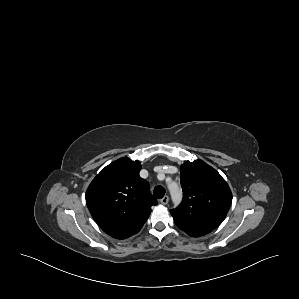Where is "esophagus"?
Here are the masks:
<instances>
[{
    "label": "esophagus",
    "instance_id": "1",
    "mask_svg": "<svg viewBox=\"0 0 299 299\" xmlns=\"http://www.w3.org/2000/svg\"><path fill=\"white\" fill-rule=\"evenodd\" d=\"M169 202V197L168 196H164L161 200L160 203L163 205H167Z\"/></svg>",
    "mask_w": 299,
    "mask_h": 299
}]
</instances>
